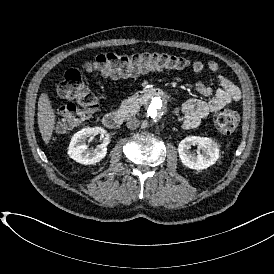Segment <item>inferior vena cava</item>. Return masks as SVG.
Here are the masks:
<instances>
[{
	"label": "inferior vena cava",
	"instance_id": "1",
	"mask_svg": "<svg viewBox=\"0 0 274 274\" xmlns=\"http://www.w3.org/2000/svg\"><path fill=\"white\" fill-rule=\"evenodd\" d=\"M140 125V121L137 118H129L126 122V126L130 130L137 129Z\"/></svg>",
	"mask_w": 274,
	"mask_h": 274
}]
</instances>
